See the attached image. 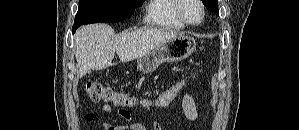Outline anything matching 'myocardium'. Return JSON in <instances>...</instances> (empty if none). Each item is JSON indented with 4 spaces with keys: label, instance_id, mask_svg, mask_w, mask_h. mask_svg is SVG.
Listing matches in <instances>:
<instances>
[{
    "label": "myocardium",
    "instance_id": "obj_1",
    "mask_svg": "<svg viewBox=\"0 0 299 130\" xmlns=\"http://www.w3.org/2000/svg\"><path fill=\"white\" fill-rule=\"evenodd\" d=\"M200 7L201 9V18L198 22L193 23L191 22L186 15L184 14V6L187 2V0H177V15L179 19L187 26H199L203 23L204 18H205V6L201 0H194Z\"/></svg>",
    "mask_w": 299,
    "mask_h": 130
}]
</instances>
